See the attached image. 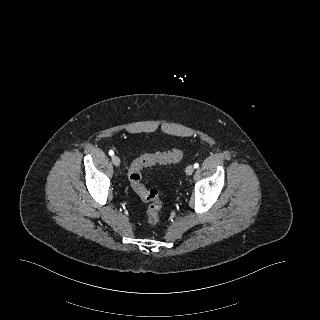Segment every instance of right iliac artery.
Returning a JSON list of instances; mask_svg holds the SVG:
<instances>
[{
	"mask_svg": "<svg viewBox=\"0 0 320 320\" xmlns=\"http://www.w3.org/2000/svg\"><path fill=\"white\" fill-rule=\"evenodd\" d=\"M113 154H114V152H113L112 150H110V151H109V155L112 156Z\"/></svg>",
	"mask_w": 320,
	"mask_h": 320,
	"instance_id": "1",
	"label": "right iliac artery"
}]
</instances>
